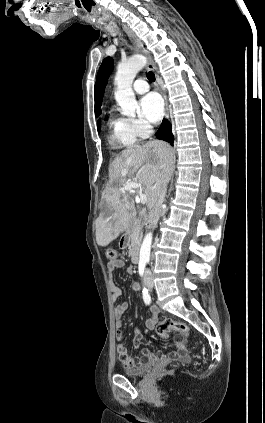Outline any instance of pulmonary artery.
I'll return each instance as SVG.
<instances>
[{
	"instance_id": "pulmonary-artery-1",
	"label": "pulmonary artery",
	"mask_w": 265,
	"mask_h": 423,
	"mask_svg": "<svg viewBox=\"0 0 265 423\" xmlns=\"http://www.w3.org/2000/svg\"><path fill=\"white\" fill-rule=\"evenodd\" d=\"M133 90L137 94H144L149 90V85L144 79H137L133 84Z\"/></svg>"
}]
</instances>
